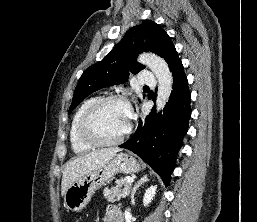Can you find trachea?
Listing matches in <instances>:
<instances>
[{
	"label": "trachea",
	"mask_w": 257,
	"mask_h": 222,
	"mask_svg": "<svg viewBox=\"0 0 257 222\" xmlns=\"http://www.w3.org/2000/svg\"><path fill=\"white\" fill-rule=\"evenodd\" d=\"M144 88H149L148 86H145Z\"/></svg>",
	"instance_id": "3493384b"
}]
</instances>
